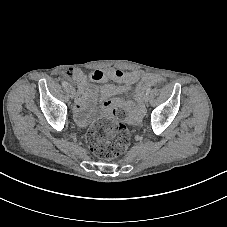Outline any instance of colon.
<instances>
[{"label": "colon", "instance_id": "5ec220e1", "mask_svg": "<svg viewBox=\"0 0 227 227\" xmlns=\"http://www.w3.org/2000/svg\"><path fill=\"white\" fill-rule=\"evenodd\" d=\"M73 72L69 69L66 74L72 76ZM86 140L98 158L110 160L119 156L128 147L130 134L124 124L106 119L94 123L88 129Z\"/></svg>", "mask_w": 227, "mask_h": 227}]
</instances>
